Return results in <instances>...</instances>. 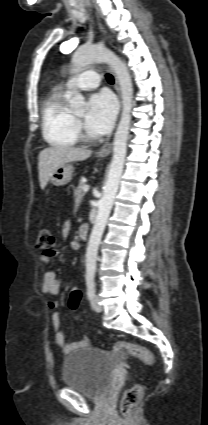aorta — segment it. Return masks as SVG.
Returning <instances> with one entry per match:
<instances>
[{"instance_id":"1","label":"aorta","mask_w":208,"mask_h":425,"mask_svg":"<svg viewBox=\"0 0 208 425\" xmlns=\"http://www.w3.org/2000/svg\"><path fill=\"white\" fill-rule=\"evenodd\" d=\"M94 62H106L114 71L121 91L122 113L114 136L113 157L107 181L103 189V196L99 201L97 217L86 250V280H93L95 277L98 248L123 173L133 106V84L130 72L126 64L109 49L97 45L79 48L72 57V72L79 73L84 67ZM84 105V97L76 91L70 99V107L76 111H82Z\"/></svg>"}]
</instances>
